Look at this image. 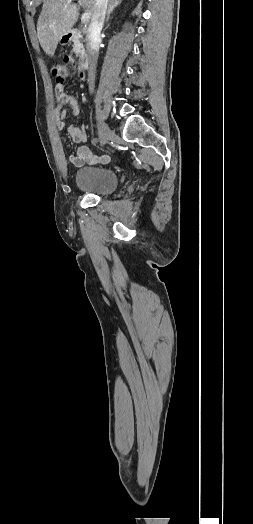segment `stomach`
<instances>
[{"mask_svg":"<svg viewBox=\"0 0 253 524\" xmlns=\"http://www.w3.org/2000/svg\"><path fill=\"white\" fill-rule=\"evenodd\" d=\"M64 36H66V34L63 35V36L60 38L59 42H61V41L63 40V37H64Z\"/></svg>","mask_w":253,"mask_h":524,"instance_id":"1","label":"stomach"}]
</instances>
